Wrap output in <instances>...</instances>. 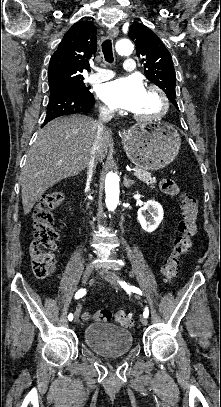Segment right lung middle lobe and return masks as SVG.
<instances>
[{
  "instance_id": "obj_1",
  "label": "right lung middle lobe",
  "mask_w": 221,
  "mask_h": 407,
  "mask_svg": "<svg viewBox=\"0 0 221 407\" xmlns=\"http://www.w3.org/2000/svg\"><path fill=\"white\" fill-rule=\"evenodd\" d=\"M67 93H73V94H79V95L92 94V93H90L89 88L86 87L83 82H79V83L51 89L50 97H54V96L60 95V94H67Z\"/></svg>"
}]
</instances>
